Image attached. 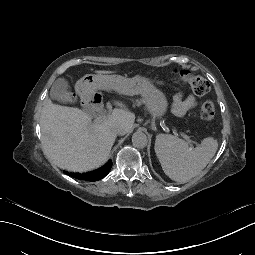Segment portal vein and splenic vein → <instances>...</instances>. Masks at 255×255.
Masks as SVG:
<instances>
[{"label": "portal vein and splenic vein", "mask_w": 255, "mask_h": 255, "mask_svg": "<svg viewBox=\"0 0 255 255\" xmlns=\"http://www.w3.org/2000/svg\"><path fill=\"white\" fill-rule=\"evenodd\" d=\"M112 115H115V112H112ZM111 117V114L109 112H106L104 116L102 114H99L98 116H95L93 118V121L95 123H98L99 121H102L104 118L109 119ZM186 142H189V147H194V142H191V136H184Z\"/></svg>", "instance_id": "portal-vein-and-splenic-vein-1"}]
</instances>
